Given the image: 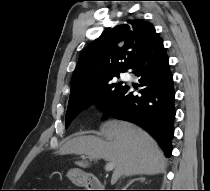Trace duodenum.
I'll return each mask as SVG.
<instances>
[{"label":"duodenum","mask_w":210,"mask_h":191,"mask_svg":"<svg viewBox=\"0 0 210 191\" xmlns=\"http://www.w3.org/2000/svg\"><path fill=\"white\" fill-rule=\"evenodd\" d=\"M79 179L81 183L89 189V191H102L103 189L101 180L93 175L81 172L79 174Z\"/></svg>","instance_id":"1"}]
</instances>
